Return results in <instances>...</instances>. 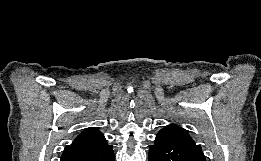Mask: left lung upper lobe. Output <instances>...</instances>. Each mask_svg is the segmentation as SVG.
Wrapping results in <instances>:
<instances>
[{
	"mask_svg": "<svg viewBox=\"0 0 261 161\" xmlns=\"http://www.w3.org/2000/svg\"><path fill=\"white\" fill-rule=\"evenodd\" d=\"M160 131L171 132V133H174L178 136H181V137H183V138H185L189 141H193L184 129H182V128L176 126V125H168Z\"/></svg>",
	"mask_w": 261,
	"mask_h": 161,
	"instance_id": "5c2ea615",
	"label": "left lung upper lobe"
}]
</instances>
